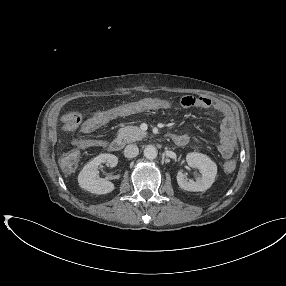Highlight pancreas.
Returning <instances> with one entry per match:
<instances>
[{
  "mask_svg": "<svg viewBox=\"0 0 286 286\" xmlns=\"http://www.w3.org/2000/svg\"><path fill=\"white\" fill-rule=\"evenodd\" d=\"M147 135L146 132L142 131L137 126H125L120 128L117 132V139L123 143H132L135 141L142 140Z\"/></svg>",
  "mask_w": 286,
  "mask_h": 286,
  "instance_id": "obj_1",
  "label": "pancreas"
}]
</instances>
